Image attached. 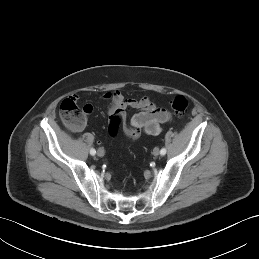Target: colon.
Wrapping results in <instances>:
<instances>
[{
	"instance_id": "5ec220e1",
	"label": "colon",
	"mask_w": 259,
	"mask_h": 259,
	"mask_svg": "<svg viewBox=\"0 0 259 259\" xmlns=\"http://www.w3.org/2000/svg\"><path fill=\"white\" fill-rule=\"evenodd\" d=\"M171 108L176 115L181 116L187 112L188 100L182 95H177L171 101ZM85 113V106H79L74 97H67L60 103V118L65 125L73 130H79L84 126L86 120ZM122 120L123 117L119 113L110 117L108 134L111 138H115L118 135Z\"/></svg>"
}]
</instances>
